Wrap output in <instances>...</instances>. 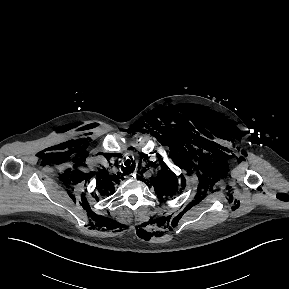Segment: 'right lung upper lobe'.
<instances>
[{
	"instance_id": "right-lung-upper-lobe-1",
	"label": "right lung upper lobe",
	"mask_w": 289,
	"mask_h": 289,
	"mask_svg": "<svg viewBox=\"0 0 289 289\" xmlns=\"http://www.w3.org/2000/svg\"><path fill=\"white\" fill-rule=\"evenodd\" d=\"M100 176H98V189L101 194L108 195L114 191V184L118 183L117 180L110 178L106 171L100 172Z\"/></svg>"
}]
</instances>
